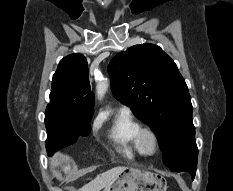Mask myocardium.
Here are the masks:
<instances>
[{
  "instance_id": "obj_1",
  "label": "myocardium",
  "mask_w": 233,
  "mask_h": 191,
  "mask_svg": "<svg viewBox=\"0 0 233 191\" xmlns=\"http://www.w3.org/2000/svg\"><path fill=\"white\" fill-rule=\"evenodd\" d=\"M139 143L146 155L155 154L159 148V138L155 129L149 126L141 127ZM149 143L151 145H149Z\"/></svg>"
}]
</instances>
